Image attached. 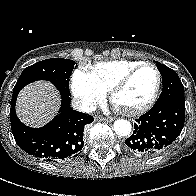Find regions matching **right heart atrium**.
Returning <instances> with one entry per match:
<instances>
[{"instance_id":"1","label":"right heart atrium","mask_w":196,"mask_h":196,"mask_svg":"<svg viewBox=\"0 0 196 196\" xmlns=\"http://www.w3.org/2000/svg\"><path fill=\"white\" fill-rule=\"evenodd\" d=\"M72 93L81 107L87 111L93 110L106 95V91L95 82L91 74L83 69L74 71Z\"/></svg>"}]
</instances>
